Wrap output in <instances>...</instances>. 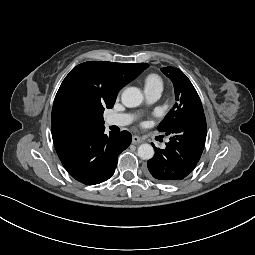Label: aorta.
I'll list each match as a JSON object with an SVG mask.
<instances>
[{
    "label": "aorta",
    "mask_w": 255,
    "mask_h": 255,
    "mask_svg": "<svg viewBox=\"0 0 255 255\" xmlns=\"http://www.w3.org/2000/svg\"><path fill=\"white\" fill-rule=\"evenodd\" d=\"M143 98V94L136 87L126 88L121 95V101L123 105L129 108L139 106L142 103ZM138 156L143 160H149L153 158V147L150 144H141L138 147Z\"/></svg>",
    "instance_id": "1"
}]
</instances>
